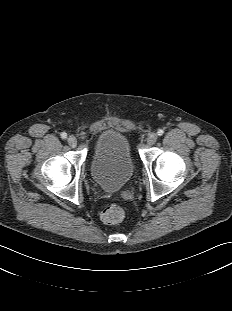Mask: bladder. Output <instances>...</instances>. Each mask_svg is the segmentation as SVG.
<instances>
[{
  "instance_id": "31cf9c89",
  "label": "bladder",
  "mask_w": 232,
  "mask_h": 311,
  "mask_svg": "<svg viewBox=\"0 0 232 311\" xmlns=\"http://www.w3.org/2000/svg\"><path fill=\"white\" fill-rule=\"evenodd\" d=\"M89 167L93 181L104 190L125 186L134 173L127 138L115 130L103 132L95 142Z\"/></svg>"
}]
</instances>
